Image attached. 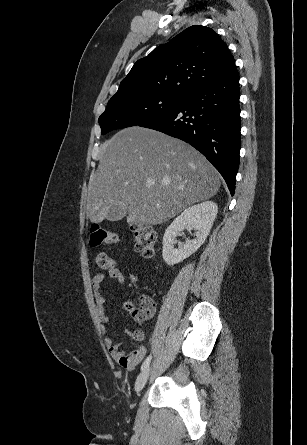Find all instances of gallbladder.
<instances>
[{
    "label": "gallbladder",
    "instance_id": "obj_1",
    "mask_svg": "<svg viewBox=\"0 0 307 445\" xmlns=\"http://www.w3.org/2000/svg\"><path fill=\"white\" fill-rule=\"evenodd\" d=\"M121 208L123 210H121ZM128 213L129 210L127 209V204L122 202L120 205L116 204L115 206H112L111 211L106 213L105 218L108 221L119 223L121 222L122 218L127 216Z\"/></svg>",
    "mask_w": 307,
    "mask_h": 445
}]
</instances>
